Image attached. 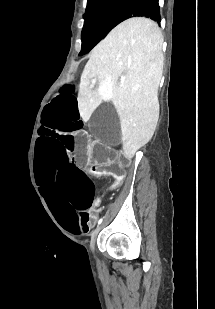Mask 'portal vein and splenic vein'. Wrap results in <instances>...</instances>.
I'll return each mask as SVG.
<instances>
[{"instance_id":"18ae733b","label":"portal vein and splenic vein","mask_w":215,"mask_h":309,"mask_svg":"<svg viewBox=\"0 0 215 309\" xmlns=\"http://www.w3.org/2000/svg\"><path fill=\"white\" fill-rule=\"evenodd\" d=\"M120 82L122 84V82H124V78H120ZM121 84H120V86H121Z\"/></svg>"}]
</instances>
